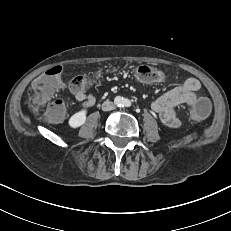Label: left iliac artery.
Returning a JSON list of instances; mask_svg holds the SVG:
<instances>
[{"instance_id":"obj_1","label":"left iliac artery","mask_w":231,"mask_h":231,"mask_svg":"<svg viewBox=\"0 0 231 231\" xmlns=\"http://www.w3.org/2000/svg\"><path fill=\"white\" fill-rule=\"evenodd\" d=\"M132 104H131V102H130V100H128V99H124L123 100V106H125V107H130Z\"/></svg>"}]
</instances>
